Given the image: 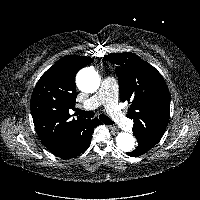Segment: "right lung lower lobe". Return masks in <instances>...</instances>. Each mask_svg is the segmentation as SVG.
I'll return each instance as SVG.
<instances>
[{"instance_id": "right-lung-lower-lobe-1", "label": "right lung lower lobe", "mask_w": 200, "mask_h": 200, "mask_svg": "<svg viewBox=\"0 0 200 200\" xmlns=\"http://www.w3.org/2000/svg\"><path fill=\"white\" fill-rule=\"evenodd\" d=\"M100 123L97 118L84 121L70 143L61 151L53 154L63 159H70L81 154L89 147L94 128Z\"/></svg>"}]
</instances>
